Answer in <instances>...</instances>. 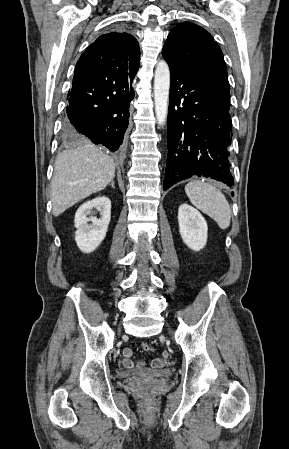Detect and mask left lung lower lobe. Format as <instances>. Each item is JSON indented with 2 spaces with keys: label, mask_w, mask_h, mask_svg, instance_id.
Returning a JSON list of instances; mask_svg holds the SVG:
<instances>
[{
  "label": "left lung lower lobe",
  "mask_w": 289,
  "mask_h": 449,
  "mask_svg": "<svg viewBox=\"0 0 289 449\" xmlns=\"http://www.w3.org/2000/svg\"><path fill=\"white\" fill-rule=\"evenodd\" d=\"M168 65L171 85L163 189L192 176L233 186L229 101L191 70Z\"/></svg>",
  "instance_id": "left-lung-lower-lobe-1"
}]
</instances>
